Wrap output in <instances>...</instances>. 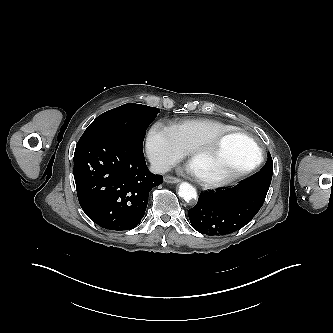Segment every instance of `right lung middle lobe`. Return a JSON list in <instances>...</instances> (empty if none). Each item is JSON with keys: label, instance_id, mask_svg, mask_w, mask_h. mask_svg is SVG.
<instances>
[{"label": "right lung middle lobe", "instance_id": "obj_1", "mask_svg": "<svg viewBox=\"0 0 333 333\" xmlns=\"http://www.w3.org/2000/svg\"><path fill=\"white\" fill-rule=\"evenodd\" d=\"M160 112L141 104H124L98 116L81 138L110 136L143 145L146 129Z\"/></svg>", "mask_w": 333, "mask_h": 333}]
</instances>
